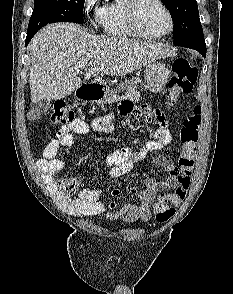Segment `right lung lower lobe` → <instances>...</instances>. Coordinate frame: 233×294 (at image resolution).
I'll return each instance as SVG.
<instances>
[{"instance_id": "obj_1", "label": "right lung lower lobe", "mask_w": 233, "mask_h": 294, "mask_svg": "<svg viewBox=\"0 0 233 294\" xmlns=\"http://www.w3.org/2000/svg\"><path fill=\"white\" fill-rule=\"evenodd\" d=\"M34 35H28L27 34V38H26V45L28 44V42L31 40V38L33 37Z\"/></svg>"}]
</instances>
